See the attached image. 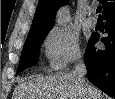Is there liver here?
Returning a JSON list of instances; mask_svg holds the SVG:
<instances>
[{
  "instance_id": "obj_1",
  "label": "liver",
  "mask_w": 115,
  "mask_h": 99,
  "mask_svg": "<svg viewBox=\"0 0 115 99\" xmlns=\"http://www.w3.org/2000/svg\"><path fill=\"white\" fill-rule=\"evenodd\" d=\"M86 86L89 99H103L97 88L87 82ZM12 99H82V94L74 73L62 72L19 83Z\"/></svg>"
}]
</instances>
